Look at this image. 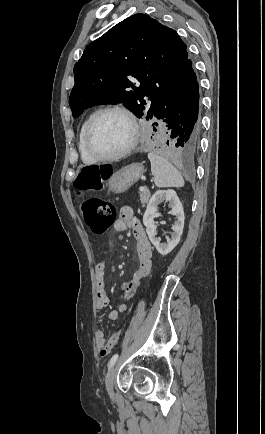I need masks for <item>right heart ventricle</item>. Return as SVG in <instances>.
I'll return each mask as SVG.
<instances>
[{"mask_svg":"<svg viewBox=\"0 0 265 434\" xmlns=\"http://www.w3.org/2000/svg\"><path fill=\"white\" fill-rule=\"evenodd\" d=\"M92 115L93 114H89L85 118V120L81 124V127L79 129V133H78V137H77L78 156H79L81 163L85 166H93V165L97 164V162H98L87 154L85 147H84V137L86 135L88 123H89Z\"/></svg>","mask_w":265,"mask_h":434,"instance_id":"right-heart-ventricle-1","label":"right heart ventricle"}]
</instances>
